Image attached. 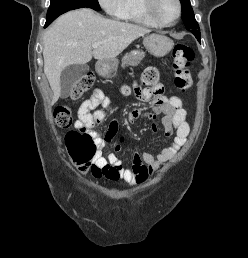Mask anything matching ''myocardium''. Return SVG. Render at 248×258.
Returning a JSON list of instances; mask_svg holds the SVG:
<instances>
[{"mask_svg": "<svg viewBox=\"0 0 248 258\" xmlns=\"http://www.w3.org/2000/svg\"><path fill=\"white\" fill-rule=\"evenodd\" d=\"M176 5H177V14L176 17L174 18L173 21L171 22H164L161 21L155 14L154 12V3L155 0H144V10L147 15V17L154 23V25L159 26V27H170L175 25L178 20L181 17L182 14V5L180 0H175Z\"/></svg>", "mask_w": 248, "mask_h": 258, "instance_id": "obj_1", "label": "myocardium"}]
</instances>
